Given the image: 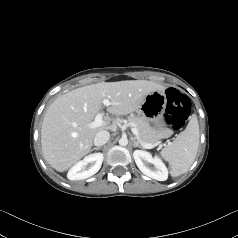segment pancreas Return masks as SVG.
<instances>
[{
    "label": "pancreas",
    "instance_id": "1",
    "mask_svg": "<svg viewBox=\"0 0 238 238\" xmlns=\"http://www.w3.org/2000/svg\"><path fill=\"white\" fill-rule=\"evenodd\" d=\"M127 121L138 130L139 138L142 143L155 144L160 138L167 137L171 134L169 130H158L151 127L149 122L142 117L130 115Z\"/></svg>",
    "mask_w": 238,
    "mask_h": 238
}]
</instances>
